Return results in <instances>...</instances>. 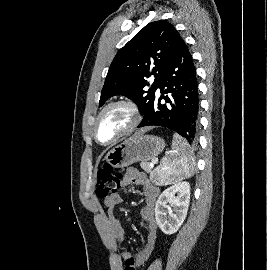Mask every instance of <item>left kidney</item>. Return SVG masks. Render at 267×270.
<instances>
[{"label":"left kidney","mask_w":267,"mask_h":270,"mask_svg":"<svg viewBox=\"0 0 267 270\" xmlns=\"http://www.w3.org/2000/svg\"><path fill=\"white\" fill-rule=\"evenodd\" d=\"M189 202L190 184L186 181L177 182L160 194L155 205V218L164 234L171 235L178 231L186 218Z\"/></svg>","instance_id":"1"}]
</instances>
